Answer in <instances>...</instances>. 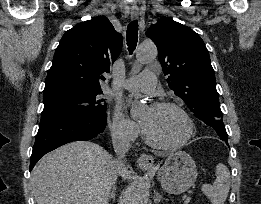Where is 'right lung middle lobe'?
Segmentation results:
<instances>
[{
    "label": "right lung middle lobe",
    "mask_w": 261,
    "mask_h": 204,
    "mask_svg": "<svg viewBox=\"0 0 261 204\" xmlns=\"http://www.w3.org/2000/svg\"><path fill=\"white\" fill-rule=\"evenodd\" d=\"M102 90H62L43 96L44 109L41 117L70 112L106 114V105L99 99Z\"/></svg>",
    "instance_id": "dd1d6c3e"
}]
</instances>
